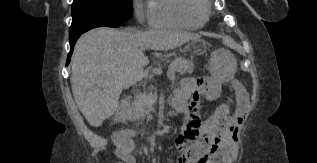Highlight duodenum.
Returning a JSON list of instances; mask_svg holds the SVG:
<instances>
[{
  "mask_svg": "<svg viewBox=\"0 0 317 163\" xmlns=\"http://www.w3.org/2000/svg\"><path fill=\"white\" fill-rule=\"evenodd\" d=\"M128 111H129V101L127 98H125L121 101L117 112L114 114L115 122L117 123L125 122L127 120ZM116 139H118V137Z\"/></svg>",
  "mask_w": 317,
  "mask_h": 163,
  "instance_id": "duodenum-1",
  "label": "duodenum"
}]
</instances>
